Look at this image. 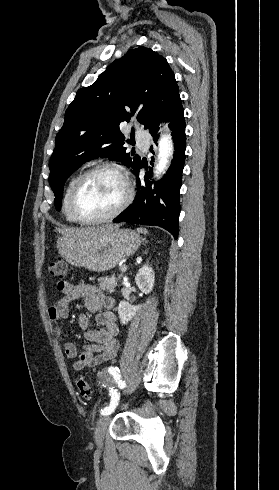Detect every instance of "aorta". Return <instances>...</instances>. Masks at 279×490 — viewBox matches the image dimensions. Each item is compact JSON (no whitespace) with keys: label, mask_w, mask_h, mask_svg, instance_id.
<instances>
[{"label":"aorta","mask_w":279,"mask_h":490,"mask_svg":"<svg viewBox=\"0 0 279 490\" xmlns=\"http://www.w3.org/2000/svg\"><path fill=\"white\" fill-rule=\"evenodd\" d=\"M158 150V163L154 170L155 177L165 173V170L168 168L169 158L173 155L174 148L170 135H163L160 138Z\"/></svg>","instance_id":"762f6f07"}]
</instances>
